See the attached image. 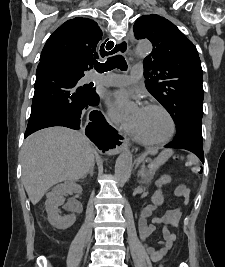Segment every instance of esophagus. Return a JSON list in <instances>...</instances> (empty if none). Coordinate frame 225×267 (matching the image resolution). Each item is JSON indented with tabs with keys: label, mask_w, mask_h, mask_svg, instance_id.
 Listing matches in <instances>:
<instances>
[{
	"label": "esophagus",
	"mask_w": 225,
	"mask_h": 267,
	"mask_svg": "<svg viewBox=\"0 0 225 267\" xmlns=\"http://www.w3.org/2000/svg\"><path fill=\"white\" fill-rule=\"evenodd\" d=\"M115 47H116V53H121L126 55L129 52V42L127 39L119 41L117 44H115ZM126 149H128V139L125 136H123L120 144L116 146L115 153L122 152Z\"/></svg>",
	"instance_id": "1"
}]
</instances>
